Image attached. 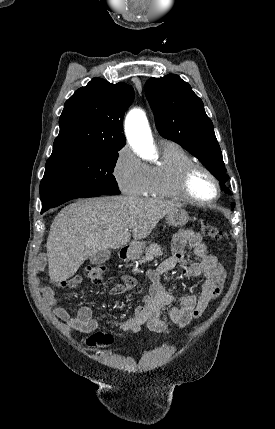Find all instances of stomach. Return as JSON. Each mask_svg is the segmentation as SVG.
<instances>
[{
	"instance_id": "1",
	"label": "stomach",
	"mask_w": 275,
	"mask_h": 429,
	"mask_svg": "<svg viewBox=\"0 0 275 429\" xmlns=\"http://www.w3.org/2000/svg\"><path fill=\"white\" fill-rule=\"evenodd\" d=\"M166 220L169 225L179 227L185 225L188 222L189 216L186 210L177 208L167 214ZM144 247V242L133 245L127 254L128 259L135 260L139 258Z\"/></svg>"
}]
</instances>
